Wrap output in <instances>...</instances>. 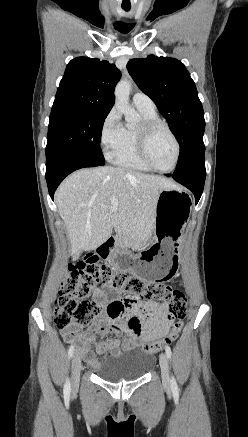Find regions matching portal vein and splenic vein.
Listing matches in <instances>:
<instances>
[{
	"mask_svg": "<svg viewBox=\"0 0 248 437\" xmlns=\"http://www.w3.org/2000/svg\"><path fill=\"white\" fill-rule=\"evenodd\" d=\"M110 211L115 212L118 210V199L115 196L110 197Z\"/></svg>",
	"mask_w": 248,
	"mask_h": 437,
	"instance_id": "1",
	"label": "portal vein and splenic vein"
}]
</instances>
